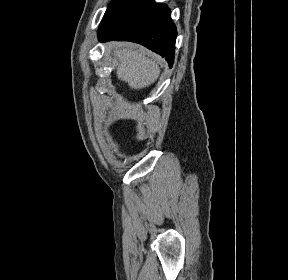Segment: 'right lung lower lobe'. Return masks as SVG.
I'll use <instances>...</instances> for the list:
<instances>
[{"label": "right lung lower lobe", "mask_w": 288, "mask_h": 280, "mask_svg": "<svg viewBox=\"0 0 288 280\" xmlns=\"http://www.w3.org/2000/svg\"><path fill=\"white\" fill-rule=\"evenodd\" d=\"M176 37L170 9L153 0H124L105 13L98 30L100 41L142 44L164 57L170 67L174 62Z\"/></svg>", "instance_id": "right-lung-lower-lobe-1"}]
</instances>
